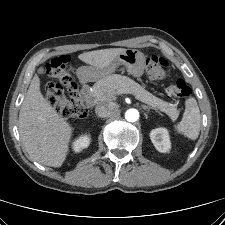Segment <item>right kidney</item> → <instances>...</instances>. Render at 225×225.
Returning <instances> with one entry per match:
<instances>
[{
	"label": "right kidney",
	"mask_w": 225,
	"mask_h": 225,
	"mask_svg": "<svg viewBox=\"0 0 225 225\" xmlns=\"http://www.w3.org/2000/svg\"><path fill=\"white\" fill-rule=\"evenodd\" d=\"M90 144V137L88 135L80 136L73 143V150L75 152H80L82 149L87 148Z\"/></svg>",
	"instance_id": "right-kidney-1"
}]
</instances>
